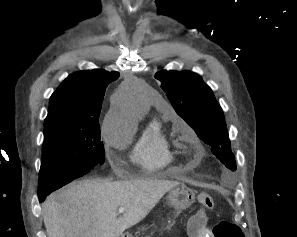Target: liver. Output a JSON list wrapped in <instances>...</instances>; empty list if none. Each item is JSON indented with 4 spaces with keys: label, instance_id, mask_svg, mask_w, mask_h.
<instances>
[{
    "label": "liver",
    "instance_id": "obj_1",
    "mask_svg": "<svg viewBox=\"0 0 297 237\" xmlns=\"http://www.w3.org/2000/svg\"><path fill=\"white\" fill-rule=\"evenodd\" d=\"M169 180H83L51 194L42 204L48 237H119L139 223L166 192ZM124 207L123 216L117 210Z\"/></svg>",
    "mask_w": 297,
    "mask_h": 237
}]
</instances>
